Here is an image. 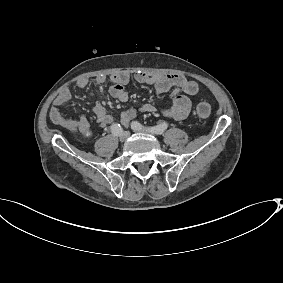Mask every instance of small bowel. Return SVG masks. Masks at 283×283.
Wrapping results in <instances>:
<instances>
[{
    "instance_id": "1",
    "label": "small bowel",
    "mask_w": 283,
    "mask_h": 283,
    "mask_svg": "<svg viewBox=\"0 0 283 283\" xmlns=\"http://www.w3.org/2000/svg\"><path fill=\"white\" fill-rule=\"evenodd\" d=\"M151 85L156 94L170 92L172 104L169 108L161 110V113L170 119L180 121L185 119L191 110L190 97L198 93V84L186 78L181 74H161L148 73L137 71L132 75L126 71L117 72L110 76L111 86L109 93L115 99L126 102L128 100V93L125 90L126 84L130 79ZM106 82L105 76H98L95 78L96 85H102ZM89 80L81 78L77 81V86L84 89L88 86ZM71 99V91L68 87H63L54 99L53 106L50 109L49 117L57 125H60L68 130H77L82 134H88L89 124L86 117L81 116L77 120L66 119L61 114L60 109L63 108ZM158 111L157 107L152 103H145L138 109L129 108L121 114V122L125 126H129L130 121L137 115V113H153ZM93 112L96 120L101 127H107L113 122L112 115L107 111L101 102H96L93 107Z\"/></svg>"
}]
</instances>
